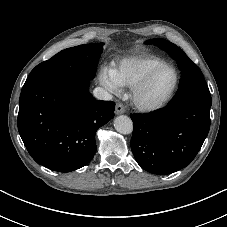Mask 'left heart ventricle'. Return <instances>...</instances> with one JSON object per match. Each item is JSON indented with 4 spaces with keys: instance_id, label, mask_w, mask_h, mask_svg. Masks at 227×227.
I'll return each mask as SVG.
<instances>
[{
    "instance_id": "b2bd125f",
    "label": "left heart ventricle",
    "mask_w": 227,
    "mask_h": 227,
    "mask_svg": "<svg viewBox=\"0 0 227 227\" xmlns=\"http://www.w3.org/2000/svg\"><path fill=\"white\" fill-rule=\"evenodd\" d=\"M175 83V73L171 69L159 72L150 82L141 96V100L147 104H154L166 97Z\"/></svg>"
}]
</instances>
